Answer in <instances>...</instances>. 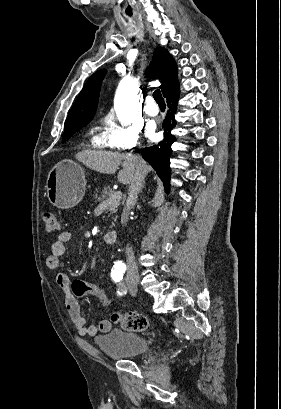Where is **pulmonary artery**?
<instances>
[{"label": "pulmonary artery", "instance_id": "pulmonary-artery-1", "mask_svg": "<svg viewBox=\"0 0 281 409\" xmlns=\"http://www.w3.org/2000/svg\"><path fill=\"white\" fill-rule=\"evenodd\" d=\"M144 109L151 116H156L159 113L157 102H145Z\"/></svg>", "mask_w": 281, "mask_h": 409}]
</instances>
